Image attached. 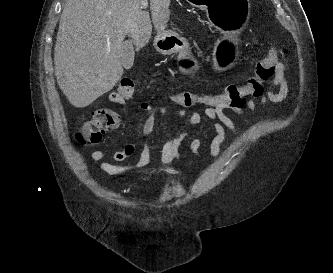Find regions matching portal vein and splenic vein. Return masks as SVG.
Returning a JSON list of instances; mask_svg holds the SVG:
<instances>
[{
  "label": "portal vein and splenic vein",
  "instance_id": "1",
  "mask_svg": "<svg viewBox=\"0 0 333 273\" xmlns=\"http://www.w3.org/2000/svg\"><path fill=\"white\" fill-rule=\"evenodd\" d=\"M148 7V2L147 0L142 1L141 3V8H147Z\"/></svg>",
  "mask_w": 333,
  "mask_h": 273
}]
</instances>
